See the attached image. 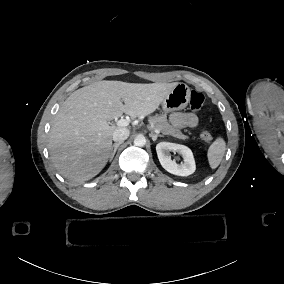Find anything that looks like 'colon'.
<instances>
[{"label":"colon","instance_id":"1","mask_svg":"<svg viewBox=\"0 0 284 284\" xmlns=\"http://www.w3.org/2000/svg\"><path fill=\"white\" fill-rule=\"evenodd\" d=\"M189 103H190V107L194 109L195 111H197L201 109V107L204 104V96L200 92L196 90H192L190 92ZM201 139L204 142H210L212 140V136L210 133L204 132L201 134Z\"/></svg>","mask_w":284,"mask_h":284}]
</instances>
